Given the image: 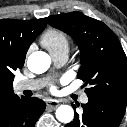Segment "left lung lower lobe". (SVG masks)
I'll return each mask as SVG.
<instances>
[{"mask_svg":"<svg viewBox=\"0 0 127 127\" xmlns=\"http://www.w3.org/2000/svg\"><path fill=\"white\" fill-rule=\"evenodd\" d=\"M88 98V103L81 105L83 114L75 113L74 120L65 127H119L127 101L110 97Z\"/></svg>","mask_w":127,"mask_h":127,"instance_id":"obj_1","label":"left lung lower lobe"}]
</instances>
